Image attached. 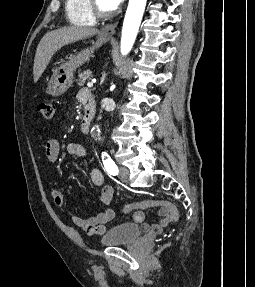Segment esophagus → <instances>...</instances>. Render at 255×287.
<instances>
[{
	"instance_id": "obj_1",
	"label": "esophagus",
	"mask_w": 255,
	"mask_h": 287,
	"mask_svg": "<svg viewBox=\"0 0 255 287\" xmlns=\"http://www.w3.org/2000/svg\"><path fill=\"white\" fill-rule=\"evenodd\" d=\"M117 25H118V21L105 25L104 27L101 28L100 35L112 37L115 34V29Z\"/></svg>"
}]
</instances>
